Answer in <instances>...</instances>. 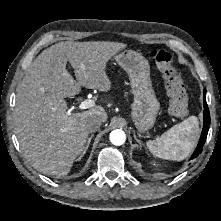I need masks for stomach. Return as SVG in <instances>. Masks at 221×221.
Listing matches in <instances>:
<instances>
[{
  "label": "stomach",
  "instance_id": "obj_1",
  "mask_svg": "<svg viewBox=\"0 0 221 221\" xmlns=\"http://www.w3.org/2000/svg\"><path fill=\"white\" fill-rule=\"evenodd\" d=\"M114 58L129 75L134 95L132 119L139 132H146L154 125L160 109L152 88L148 60L133 50H125Z\"/></svg>",
  "mask_w": 221,
  "mask_h": 221
}]
</instances>
